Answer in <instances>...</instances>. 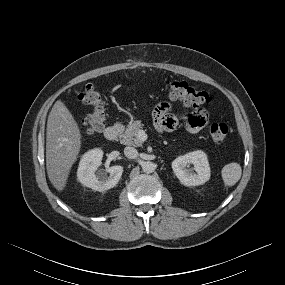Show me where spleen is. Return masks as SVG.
Returning <instances> with one entry per match:
<instances>
[{"instance_id":"1","label":"spleen","mask_w":285,"mask_h":285,"mask_svg":"<svg viewBox=\"0 0 285 285\" xmlns=\"http://www.w3.org/2000/svg\"><path fill=\"white\" fill-rule=\"evenodd\" d=\"M221 173L225 186L231 187L241 178L242 170L238 163H230L222 168Z\"/></svg>"}]
</instances>
